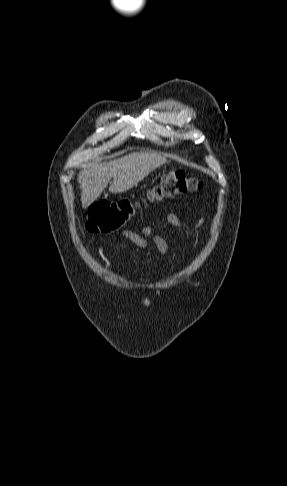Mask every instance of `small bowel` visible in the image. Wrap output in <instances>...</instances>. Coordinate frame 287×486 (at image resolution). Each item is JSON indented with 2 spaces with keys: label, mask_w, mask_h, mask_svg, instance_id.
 I'll list each match as a JSON object with an SVG mask.
<instances>
[{
  "label": "small bowel",
  "mask_w": 287,
  "mask_h": 486,
  "mask_svg": "<svg viewBox=\"0 0 287 486\" xmlns=\"http://www.w3.org/2000/svg\"><path fill=\"white\" fill-rule=\"evenodd\" d=\"M165 221L176 228L183 227L182 222L175 213H167ZM121 236L141 249L148 248L151 242L161 255L171 261V253L167 242L161 236L155 234L152 226H144L140 232L125 229L121 231ZM115 247L121 250L127 249V245L123 242L117 243Z\"/></svg>",
  "instance_id": "obj_1"
}]
</instances>
